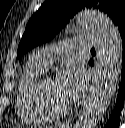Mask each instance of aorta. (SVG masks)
<instances>
[{"label": "aorta", "mask_w": 125, "mask_h": 128, "mask_svg": "<svg viewBox=\"0 0 125 128\" xmlns=\"http://www.w3.org/2000/svg\"><path fill=\"white\" fill-rule=\"evenodd\" d=\"M79 26L97 39V75L89 91L76 128H95L110 105L120 73L122 43L118 29L103 13L86 9L76 16Z\"/></svg>", "instance_id": "1"}]
</instances>
